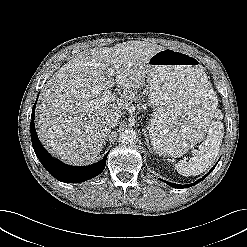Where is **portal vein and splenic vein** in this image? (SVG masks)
Wrapping results in <instances>:
<instances>
[{"label":"portal vein and splenic vein","mask_w":247,"mask_h":247,"mask_svg":"<svg viewBox=\"0 0 247 247\" xmlns=\"http://www.w3.org/2000/svg\"><path fill=\"white\" fill-rule=\"evenodd\" d=\"M109 72H110L111 75L114 74V70H113L112 68L109 69ZM109 94H110L109 91L104 92V94H103V96H102V98H101V101H102V102H105V103H106L107 101H109V99H110Z\"/></svg>","instance_id":"portal-vein-and-splenic-vein-1"}]
</instances>
